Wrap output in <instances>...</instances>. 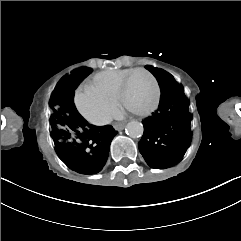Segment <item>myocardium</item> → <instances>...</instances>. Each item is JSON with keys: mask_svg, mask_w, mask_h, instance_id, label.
<instances>
[{"mask_svg": "<svg viewBox=\"0 0 241 241\" xmlns=\"http://www.w3.org/2000/svg\"><path fill=\"white\" fill-rule=\"evenodd\" d=\"M144 73H146V75H144V80H148L149 83L151 84V87L153 89V96L151 98L152 101H150V103L148 104V106H146L145 108H143V113L144 115L149 113L155 106V104L157 103V100L160 96V89L156 83V80L154 77H152L151 73L144 69V68H138L137 70H133V71H129L127 74H125L123 76V78L120 80V83L117 85V97L119 102H124L125 100V96H124V92H125V88L128 85L129 81L133 78V76L135 75H143ZM148 74V75H147Z\"/></svg>", "mask_w": 241, "mask_h": 241, "instance_id": "obj_1", "label": "myocardium"}]
</instances>
